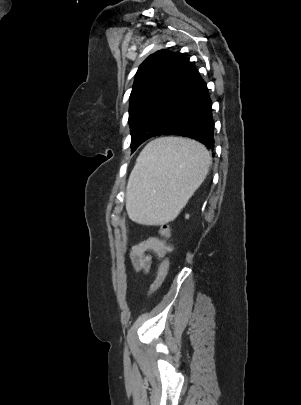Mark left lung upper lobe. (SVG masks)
Returning <instances> with one entry per match:
<instances>
[{"label":"left lung upper lobe","instance_id":"obj_1","mask_svg":"<svg viewBox=\"0 0 301 405\" xmlns=\"http://www.w3.org/2000/svg\"><path fill=\"white\" fill-rule=\"evenodd\" d=\"M193 65L181 54L160 50L140 65L130 95L131 146L149 138L181 96Z\"/></svg>","mask_w":301,"mask_h":405}]
</instances>
